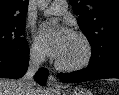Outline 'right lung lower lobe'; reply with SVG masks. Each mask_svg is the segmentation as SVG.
<instances>
[{
    "instance_id": "right-lung-lower-lobe-1",
    "label": "right lung lower lobe",
    "mask_w": 119,
    "mask_h": 95,
    "mask_svg": "<svg viewBox=\"0 0 119 95\" xmlns=\"http://www.w3.org/2000/svg\"><path fill=\"white\" fill-rule=\"evenodd\" d=\"M29 47L28 43L20 49L0 50V78L17 79L22 77L28 67ZM48 77V70L41 68L35 75L36 81L45 85Z\"/></svg>"
}]
</instances>
